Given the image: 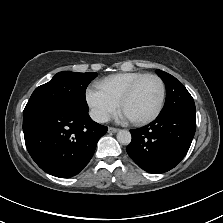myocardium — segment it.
I'll return each instance as SVG.
<instances>
[{
  "instance_id": "myocardium-1",
  "label": "myocardium",
  "mask_w": 223,
  "mask_h": 223,
  "mask_svg": "<svg viewBox=\"0 0 223 223\" xmlns=\"http://www.w3.org/2000/svg\"><path fill=\"white\" fill-rule=\"evenodd\" d=\"M148 78H154V79H156L159 82V85H160V97H159V101H158L157 107L155 108V110L149 116H147L145 118H141V119H130L129 118L132 122L137 123V124H147L149 122H152L160 114V112H161V110L163 108V104H164V100H165V94H166L165 84H164L163 80L158 75L146 74L145 76H143L140 79H138L123 94V96L119 99V108L121 109V107L124 105V103L136 92L138 87Z\"/></svg>"
}]
</instances>
